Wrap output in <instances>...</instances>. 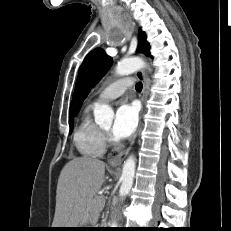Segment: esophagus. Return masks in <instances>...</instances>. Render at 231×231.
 Instances as JSON below:
<instances>
[{
	"mask_svg": "<svg viewBox=\"0 0 231 231\" xmlns=\"http://www.w3.org/2000/svg\"><path fill=\"white\" fill-rule=\"evenodd\" d=\"M136 76H137V78L139 80H141V82L143 84L142 91H141V93L139 95V99L141 101V112H140V118H139V125H138V128H137V131H136L135 135L133 136V138H132V140L130 142L129 147L127 149H125L124 151L118 153L117 155H115V156H113L112 158L109 159L108 163L112 167H117V166L121 165V163L127 157L128 153L130 152V150L132 148V145L135 142L137 134L139 133L140 128H141V118H142V115H143V107H144V101H145V94H146V91H147V85H146V75H145L144 70L137 71Z\"/></svg>",
	"mask_w": 231,
	"mask_h": 231,
	"instance_id": "34e87169",
	"label": "esophagus"
}]
</instances>
